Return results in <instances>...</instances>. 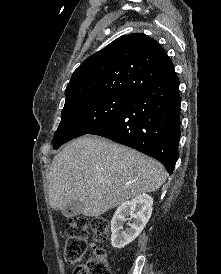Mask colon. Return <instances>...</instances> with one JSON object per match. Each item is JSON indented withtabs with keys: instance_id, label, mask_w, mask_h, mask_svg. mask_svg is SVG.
I'll return each mask as SVG.
<instances>
[{
	"instance_id": "colon-1",
	"label": "colon",
	"mask_w": 221,
	"mask_h": 274,
	"mask_svg": "<svg viewBox=\"0 0 221 274\" xmlns=\"http://www.w3.org/2000/svg\"><path fill=\"white\" fill-rule=\"evenodd\" d=\"M91 226L96 242L107 240L110 232L109 222L103 217H96L89 223L84 216L71 218L66 226L67 240L65 243V259L70 264L82 260L87 251L88 226ZM74 274H111L106 252L93 246V254L87 261L76 267Z\"/></svg>"
}]
</instances>
